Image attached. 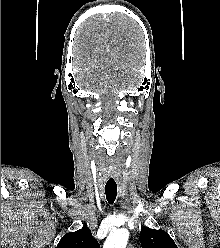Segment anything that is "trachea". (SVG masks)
<instances>
[{
    "label": "trachea",
    "instance_id": "3493384b",
    "mask_svg": "<svg viewBox=\"0 0 220 248\" xmlns=\"http://www.w3.org/2000/svg\"><path fill=\"white\" fill-rule=\"evenodd\" d=\"M106 199L110 204H113L117 196V184L107 183L105 186Z\"/></svg>",
    "mask_w": 220,
    "mask_h": 248
}]
</instances>
